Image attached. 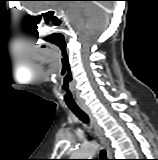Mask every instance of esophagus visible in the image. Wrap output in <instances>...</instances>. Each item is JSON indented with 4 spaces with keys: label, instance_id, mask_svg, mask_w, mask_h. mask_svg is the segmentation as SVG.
Instances as JSON below:
<instances>
[{
    "label": "esophagus",
    "instance_id": "34e87169",
    "mask_svg": "<svg viewBox=\"0 0 158 160\" xmlns=\"http://www.w3.org/2000/svg\"><path fill=\"white\" fill-rule=\"evenodd\" d=\"M80 108L89 116V118H90V120H91V122L93 124V127L95 129L96 135L98 136L103 148L106 150L108 159H111L112 158V151H111V148L109 146V142H108L107 138L105 137L103 129L97 123V121L94 118L93 114L91 113V111L86 106L80 105Z\"/></svg>",
    "mask_w": 158,
    "mask_h": 160
}]
</instances>
